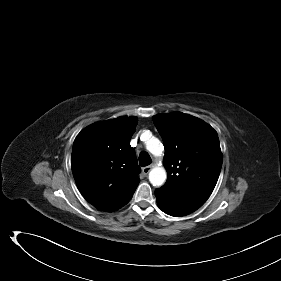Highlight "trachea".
I'll return each instance as SVG.
<instances>
[{
    "instance_id": "trachea-1",
    "label": "trachea",
    "mask_w": 281,
    "mask_h": 281,
    "mask_svg": "<svg viewBox=\"0 0 281 281\" xmlns=\"http://www.w3.org/2000/svg\"><path fill=\"white\" fill-rule=\"evenodd\" d=\"M151 162H152L151 157L147 152L143 151L140 153V155H139L140 166H143V167L148 166Z\"/></svg>"
}]
</instances>
